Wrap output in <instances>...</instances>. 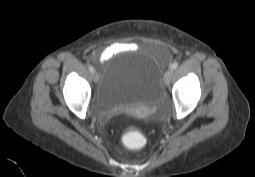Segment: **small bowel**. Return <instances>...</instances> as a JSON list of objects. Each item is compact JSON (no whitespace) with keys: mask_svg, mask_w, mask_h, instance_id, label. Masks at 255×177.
<instances>
[{"mask_svg":"<svg viewBox=\"0 0 255 177\" xmlns=\"http://www.w3.org/2000/svg\"><path fill=\"white\" fill-rule=\"evenodd\" d=\"M133 43H116L105 48L99 55L98 60L100 63H104L121 51L134 49Z\"/></svg>","mask_w":255,"mask_h":177,"instance_id":"c3829d8e","label":"small bowel"}]
</instances>
